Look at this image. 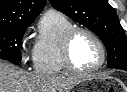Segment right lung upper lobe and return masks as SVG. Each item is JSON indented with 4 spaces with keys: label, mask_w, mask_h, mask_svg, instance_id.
<instances>
[{
    "label": "right lung upper lobe",
    "mask_w": 127,
    "mask_h": 92,
    "mask_svg": "<svg viewBox=\"0 0 127 92\" xmlns=\"http://www.w3.org/2000/svg\"><path fill=\"white\" fill-rule=\"evenodd\" d=\"M46 0H0V28L30 25Z\"/></svg>",
    "instance_id": "obj_1"
}]
</instances>
